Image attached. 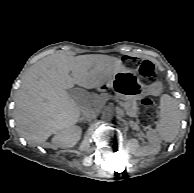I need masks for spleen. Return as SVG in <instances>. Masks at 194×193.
Wrapping results in <instances>:
<instances>
[{
    "mask_svg": "<svg viewBox=\"0 0 194 193\" xmlns=\"http://www.w3.org/2000/svg\"><path fill=\"white\" fill-rule=\"evenodd\" d=\"M180 111L177 101L164 94L160 98V119L157 123V131L166 142H172L180 129Z\"/></svg>",
    "mask_w": 194,
    "mask_h": 193,
    "instance_id": "spleen-1",
    "label": "spleen"
}]
</instances>
